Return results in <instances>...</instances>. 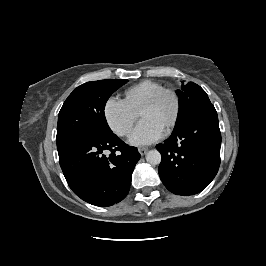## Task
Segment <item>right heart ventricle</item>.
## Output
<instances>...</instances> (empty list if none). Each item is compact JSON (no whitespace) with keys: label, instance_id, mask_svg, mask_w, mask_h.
Wrapping results in <instances>:
<instances>
[{"label":"right heart ventricle","instance_id":"1","mask_svg":"<svg viewBox=\"0 0 266 266\" xmlns=\"http://www.w3.org/2000/svg\"><path fill=\"white\" fill-rule=\"evenodd\" d=\"M164 86L158 82L145 80L125 91L126 102L137 112H140L144 103Z\"/></svg>","mask_w":266,"mask_h":266}]
</instances>
